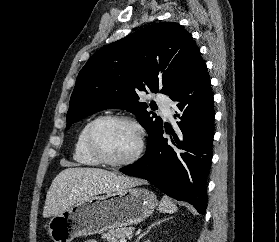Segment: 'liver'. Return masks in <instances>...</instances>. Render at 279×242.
<instances>
[{"instance_id": "obj_1", "label": "liver", "mask_w": 279, "mask_h": 242, "mask_svg": "<svg viewBox=\"0 0 279 242\" xmlns=\"http://www.w3.org/2000/svg\"><path fill=\"white\" fill-rule=\"evenodd\" d=\"M143 181L98 168H67L52 181L47 192L43 217L67 210L74 203L102 193L141 185Z\"/></svg>"}]
</instances>
